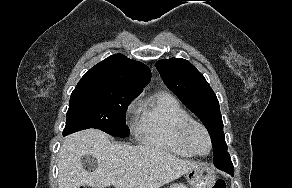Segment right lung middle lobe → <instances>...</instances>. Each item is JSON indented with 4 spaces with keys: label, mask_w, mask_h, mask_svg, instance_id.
<instances>
[{
    "label": "right lung middle lobe",
    "mask_w": 292,
    "mask_h": 188,
    "mask_svg": "<svg viewBox=\"0 0 292 188\" xmlns=\"http://www.w3.org/2000/svg\"><path fill=\"white\" fill-rule=\"evenodd\" d=\"M138 94L98 84H77L71 94L63 136L97 128L116 137H127L126 110Z\"/></svg>",
    "instance_id": "obj_1"
}]
</instances>
